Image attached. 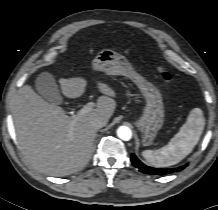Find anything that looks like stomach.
<instances>
[{"label":"stomach","instance_id":"obj_1","mask_svg":"<svg viewBox=\"0 0 218 210\" xmlns=\"http://www.w3.org/2000/svg\"><path fill=\"white\" fill-rule=\"evenodd\" d=\"M92 66L94 70L109 75L128 77L138 86L146 104L135 124L141 132L143 145L152 144L164 123V104L160 90L138 74L125 56L114 50H101L93 60Z\"/></svg>","mask_w":218,"mask_h":210}]
</instances>
